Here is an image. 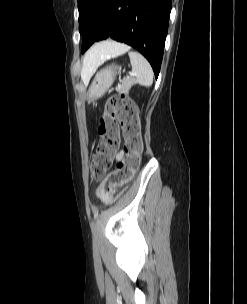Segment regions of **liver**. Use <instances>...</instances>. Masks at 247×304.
Here are the masks:
<instances>
[{"mask_svg": "<svg viewBox=\"0 0 247 304\" xmlns=\"http://www.w3.org/2000/svg\"><path fill=\"white\" fill-rule=\"evenodd\" d=\"M128 49V46L113 41H104L94 45L83 59V67L81 71L83 82L87 83L104 61L111 57L118 56L121 52Z\"/></svg>", "mask_w": 247, "mask_h": 304, "instance_id": "obj_1", "label": "liver"}]
</instances>
